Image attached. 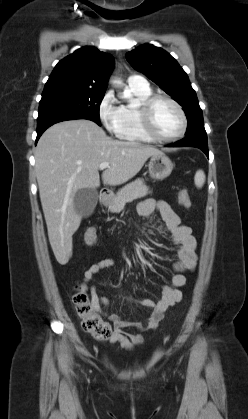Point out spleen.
I'll use <instances>...</instances> for the list:
<instances>
[{
	"instance_id": "3e777b00",
	"label": "spleen",
	"mask_w": 248,
	"mask_h": 419,
	"mask_svg": "<svg viewBox=\"0 0 248 419\" xmlns=\"http://www.w3.org/2000/svg\"><path fill=\"white\" fill-rule=\"evenodd\" d=\"M194 183L197 188H201L205 183V174L202 170H198L194 176Z\"/></svg>"
}]
</instances>
